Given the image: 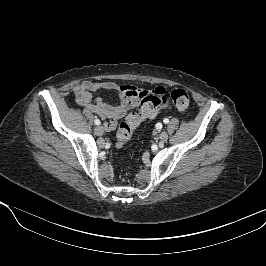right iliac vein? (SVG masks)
Wrapping results in <instances>:
<instances>
[{
	"label": "right iliac vein",
	"instance_id": "63e3f726",
	"mask_svg": "<svg viewBox=\"0 0 266 266\" xmlns=\"http://www.w3.org/2000/svg\"><path fill=\"white\" fill-rule=\"evenodd\" d=\"M94 132L97 136H101L103 135V127L102 126H96L95 129H94Z\"/></svg>",
	"mask_w": 266,
	"mask_h": 266
}]
</instances>
